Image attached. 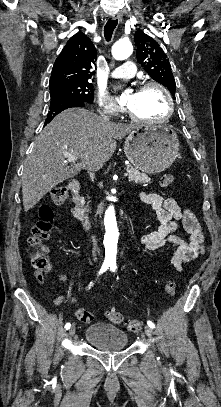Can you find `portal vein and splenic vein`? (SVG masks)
I'll return each instance as SVG.
<instances>
[{"instance_id":"18ae733b","label":"portal vein and splenic vein","mask_w":221,"mask_h":407,"mask_svg":"<svg viewBox=\"0 0 221 407\" xmlns=\"http://www.w3.org/2000/svg\"><path fill=\"white\" fill-rule=\"evenodd\" d=\"M64 156L67 158L66 162H75L78 161V158L74 155H71L69 153H65ZM129 174L128 172L124 173V176L127 177Z\"/></svg>"}]
</instances>
